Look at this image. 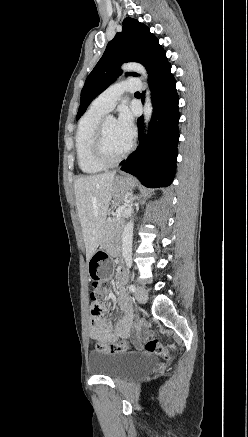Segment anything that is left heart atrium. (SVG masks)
<instances>
[{
  "instance_id": "obj_1",
  "label": "left heart atrium",
  "mask_w": 248,
  "mask_h": 437,
  "mask_svg": "<svg viewBox=\"0 0 248 437\" xmlns=\"http://www.w3.org/2000/svg\"><path fill=\"white\" fill-rule=\"evenodd\" d=\"M116 127L119 134L128 142H131L135 135V127L132 113L128 108L123 107L120 110L119 117L116 120Z\"/></svg>"
}]
</instances>
